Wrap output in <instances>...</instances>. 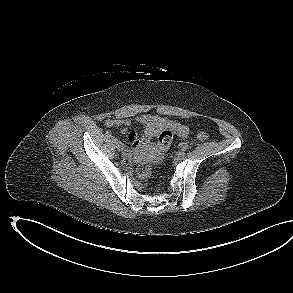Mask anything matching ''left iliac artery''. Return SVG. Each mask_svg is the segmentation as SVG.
Returning <instances> with one entry per match:
<instances>
[{"label": "left iliac artery", "instance_id": "1", "mask_svg": "<svg viewBox=\"0 0 293 293\" xmlns=\"http://www.w3.org/2000/svg\"><path fill=\"white\" fill-rule=\"evenodd\" d=\"M180 149H181V151H186L188 149V145L186 143H181Z\"/></svg>", "mask_w": 293, "mask_h": 293}]
</instances>
